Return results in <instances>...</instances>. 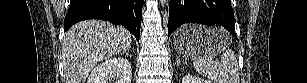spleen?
<instances>
[{"label":"spleen","instance_id":"obj_1","mask_svg":"<svg viewBox=\"0 0 307 83\" xmlns=\"http://www.w3.org/2000/svg\"><path fill=\"white\" fill-rule=\"evenodd\" d=\"M193 65L196 71L214 83H240L238 62L234 52L226 48L221 56V62L212 57L195 58Z\"/></svg>","mask_w":307,"mask_h":83}]
</instances>
